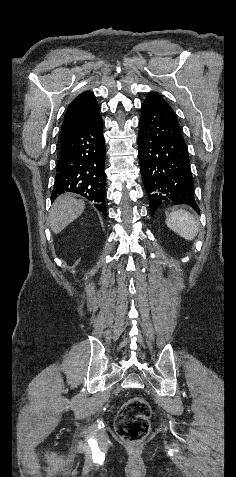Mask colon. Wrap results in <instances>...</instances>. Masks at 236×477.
<instances>
[{
    "label": "colon",
    "instance_id": "5ec220e1",
    "mask_svg": "<svg viewBox=\"0 0 236 477\" xmlns=\"http://www.w3.org/2000/svg\"><path fill=\"white\" fill-rule=\"evenodd\" d=\"M151 408L141 397H133L125 402L115 421L117 435L125 442L137 443L144 440L150 430Z\"/></svg>",
    "mask_w": 236,
    "mask_h": 477
}]
</instances>
